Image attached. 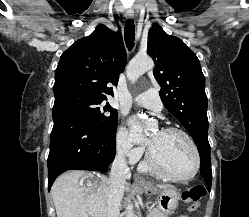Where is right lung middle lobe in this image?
Segmentation results:
<instances>
[{"label":"right lung middle lobe","mask_w":249,"mask_h":217,"mask_svg":"<svg viewBox=\"0 0 249 217\" xmlns=\"http://www.w3.org/2000/svg\"><path fill=\"white\" fill-rule=\"evenodd\" d=\"M55 96L54 107L72 110L94 129L105 133L116 131L118 114L107 103L102 106L104 99H98L80 92H63Z\"/></svg>","instance_id":"right-lung-middle-lobe-1"}]
</instances>
